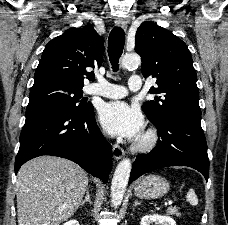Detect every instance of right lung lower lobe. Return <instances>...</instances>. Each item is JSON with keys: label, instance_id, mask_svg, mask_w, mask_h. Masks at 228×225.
<instances>
[{"label": "right lung lower lobe", "instance_id": "1", "mask_svg": "<svg viewBox=\"0 0 228 225\" xmlns=\"http://www.w3.org/2000/svg\"><path fill=\"white\" fill-rule=\"evenodd\" d=\"M94 108L76 111L63 105L26 110L20 135L15 173L26 161L41 155L67 158L107 182L112 167V147L96 122Z\"/></svg>", "mask_w": 228, "mask_h": 225}]
</instances>
